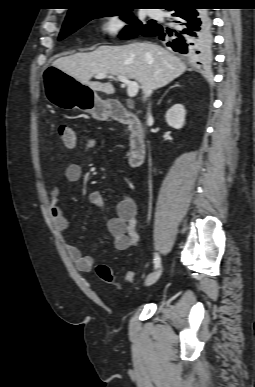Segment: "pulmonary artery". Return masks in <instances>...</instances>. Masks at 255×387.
<instances>
[{
	"label": "pulmonary artery",
	"instance_id": "obj_1",
	"mask_svg": "<svg viewBox=\"0 0 255 387\" xmlns=\"http://www.w3.org/2000/svg\"><path fill=\"white\" fill-rule=\"evenodd\" d=\"M149 15L154 18H159L161 17L162 13L159 10H150Z\"/></svg>",
	"mask_w": 255,
	"mask_h": 387
}]
</instances>
